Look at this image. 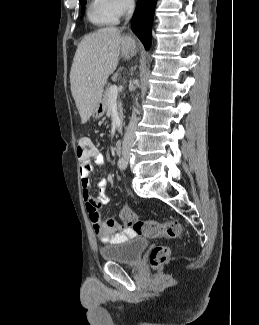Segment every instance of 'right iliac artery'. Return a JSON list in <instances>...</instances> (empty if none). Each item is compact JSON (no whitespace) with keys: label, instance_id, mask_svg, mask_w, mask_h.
<instances>
[{"label":"right iliac artery","instance_id":"1","mask_svg":"<svg viewBox=\"0 0 259 325\" xmlns=\"http://www.w3.org/2000/svg\"><path fill=\"white\" fill-rule=\"evenodd\" d=\"M122 165H127V161L121 157L119 160H118V167L121 169V166Z\"/></svg>","mask_w":259,"mask_h":325}]
</instances>
